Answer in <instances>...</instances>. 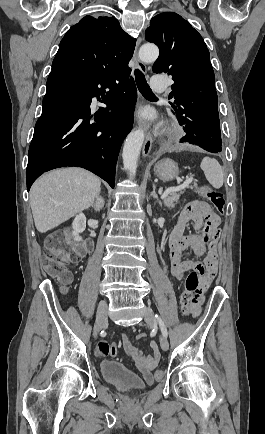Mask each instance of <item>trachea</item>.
<instances>
[{"mask_svg": "<svg viewBox=\"0 0 265 434\" xmlns=\"http://www.w3.org/2000/svg\"><path fill=\"white\" fill-rule=\"evenodd\" d=\"M135 79L139 92H141L142 95L155 97L145 79V76L140 70H135Z\"/></svg>", "mask_w": 265, "mask_h": 434, "instance_id": "3493384b", "label": "trachea"}]
</instances>
